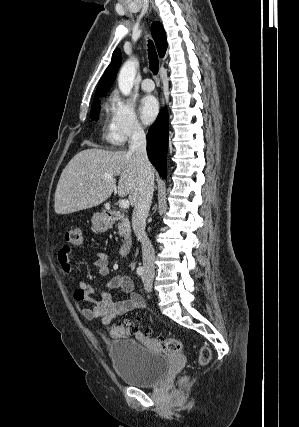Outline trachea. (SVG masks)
Returning a JSON list of instances; mask_svg holds the SVG:
<instances>
[{"label":"trachea","instance_id":"trachea-1","mask_svg":"<svg viewBox=\"0 0 299 427\" xmlns=\"http://www.w3.org/2000/svg\"><path fill=\"white\" fill-rule=\"evenodd\" d=\"M148 58H149L150 70L154 75H156L159 69V60H158V56H157V52L155 50L154 44L151 40L148 41Z\"/></svg>","mask_w":299,"mask_h":427}]
</instances>
